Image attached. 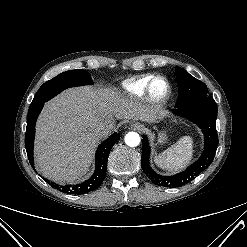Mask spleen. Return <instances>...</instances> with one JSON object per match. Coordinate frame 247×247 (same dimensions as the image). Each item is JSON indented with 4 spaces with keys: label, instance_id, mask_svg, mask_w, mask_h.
Instances as JSON below:
<instances>
[{
    "label": "spleen",
    "instance_id": "1",
    "mask_svg": "<svg viewBox=\"0 0 247 247\" xmlns=\"http://www.w3.org/2000/svg\"><path fill=\"white\" fill-rule=\"evenodd\" d=\"M193 157V139L183 136L171 147L155 157V164L168 171L184 169Z\"/></svg>",
    "mask_w": 247,
    "mask_h": 247
}]
</instances>
